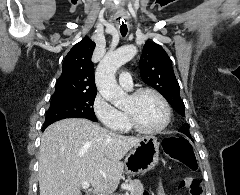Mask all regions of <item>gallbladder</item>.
<instances>
[{
	"label": "gallbladder",
	"instance_id": "1",
	"mask_svg": "<svg viewBox=\"0 0 240 195\" xmlns=\"http://www.w3.org/2000/svg\"><path fill=\"white\" fill-rule=\"evenodd\" d=\"M82 195H91V194H90V191H89V190H86L85 192H83Z\"/></svg>",
	"mask_w": 240,
	"mask_h": 195
}]
</instances>
